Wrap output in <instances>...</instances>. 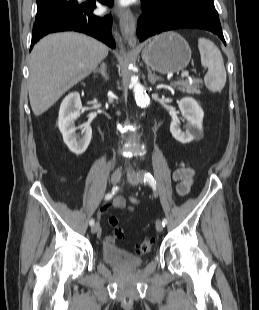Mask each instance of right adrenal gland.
I'll list each match as a JSON object with an SVG mask.
<instances>
[{
  "label": "right adrenal gland",
  "instance_id": "2a0ac1e0",
  "mask_svg": "<svg viewBox=\"0 0 259 310\" xmlns=\"http://www.w3.org/2000/svg\"><path fill=\"white\" fill-rule=\"evenodd\" d=\"M94 74L100 73L102 77L107 81L109 79V76L107 74V66L104 62L101 63L100 68L95 69L93 71Z\"/></svg>",
  "mask_w": 259,
  "mask_h": 310
}]
</instances>
